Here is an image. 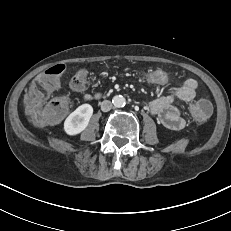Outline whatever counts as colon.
<instances>
[{
  "mask_svg": "<svg viewBox=\"0 0 231 231\" xmlns=\"http://www.w3.org/2000/svg\"><path fill=\"white\" fill-rule=\"evenodd\" d=\"M64 64H56L40 74L34 81V87L27 94L25 104L26 110L31 119L36 124H44L47 122L54 123L61 120L68 112L70 101L66 96H58L54 98L46 112L40 108L43 100V93L53 91L58 85V77L64 72ZM139 78L144 83L150 85L162 86L169 85L172 82L171 77L167 76L162 69L144 66L139 71ZM88 84V72L84 69L79 70L71 81V87L75 91L83 90ZM212 103L209 100H198L191 105V113L197 120H206L212 110Z\"/></svg>",
  "mask_w": 231,
  "mask_h": 231,
  "instance_id": "1",
  "label": "colon"
}]
</instances>
